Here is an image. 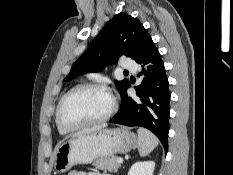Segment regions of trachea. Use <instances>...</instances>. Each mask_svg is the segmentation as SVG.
<instances>
[{
	"mask_svg": "<svg viewBox=\"0 0 233 175\" xmlns=\"http://www.w3.org/2000/svg\"><path fill=\"white\" fill-rule=\"evenodd\" d=\"M124 73H128V71H127V70H125V71H124Z\"/></svg>",
	"mask_w": 233,
	"mask_h": 175,
	"instance_id": "3493384b",
	"label": "trachea"
}]
</instances>
